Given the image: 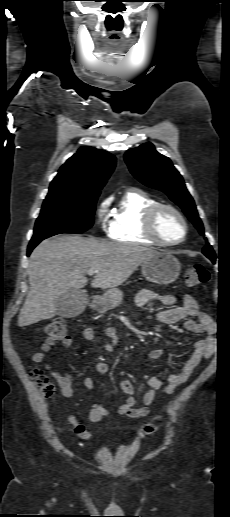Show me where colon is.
I'll return each mask as SVG.
<instances>
[{"label":"colon","instance_id":"1","mask_svg":"<svg viewBox=\"0 0 230 517\" xmlns=\"http://www.w3.org/2000/svg\"><path fill=\"white\" fill-rule=\"evenodd\" d=\"M185 280L189 286L205 284L209 280V272L203 265L197 264L187 268ZM42 330L49 338L62 341L69 340L68 328L61 320L49 322L43 326ZM30 376L46 398H51L54 395V384L42 370L32 369ZM156 427L154 423L147 424L144 426L143 432L146 435L151 434L156 430Z\"/></svg>","mask_w":230,"mask_h":517}]
</instances>
